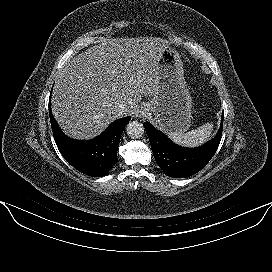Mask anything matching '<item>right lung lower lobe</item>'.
Masks as SVG:
<instances>
[{"instance_id": "98d812e1", "label": "right lung lower lobe", "mask_w": 272, "mask_h": 272, "mask_svg": "<svg viewBox=\"0 0 272 272\" xmlns=\"http://www.w3.org/2000/svg\"><path fill=\"white\" fill-rule=\"evenodd\" d=\"M51 99V96H50ZM49 99V116L55 142L65 160L78 171L102 177L117 163V149L122 132L131 117L114 121L98 137L88 141L73 140L65 136L54 120Z\"/></svg>"}]
</instances>
